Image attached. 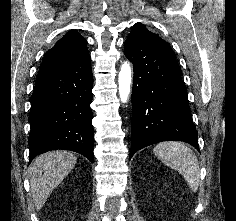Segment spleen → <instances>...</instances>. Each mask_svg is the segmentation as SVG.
<instances>
[{
  "instance_id": "3e777b00",
  "label": "spleen",
  "mask_w": 236,
  "mask_h": 221,
  "mask_svg": "<svg viewBox=\"0 0 236 221\" xmlns=\"http://www.w3.org/2000/svg\"><path fill=\"white\" fill-rule=\"evenodd\" d=\"M153 152L164 164L177 170L193 191L198 189L200 166L197 156L188 146L177 141L161 142Z\"/></svg>"
}]
</instances>
